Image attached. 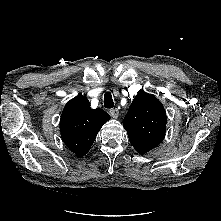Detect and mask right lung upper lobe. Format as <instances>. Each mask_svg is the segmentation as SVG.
I'll return each mask as SVG.
<instances>
[{"instance_id": "obj_1", "label": "right lung upper lobe", "mask_w": 221, "mask_h": 221, "mask_svg": "<svg viewBox=\"0 0 221 221\" xmlns=\"http://www.w3.org/2000/svg\"><path fill=\"white\" fill-rule=\"evenodd\" d=\"M110 119L102 109H91L89 100L82 95L67 102L61 115L60 131L65 145L78 157L91 148L97 133Z\"/></svg>"}]
</instances>
